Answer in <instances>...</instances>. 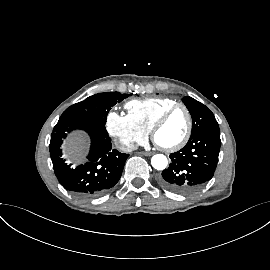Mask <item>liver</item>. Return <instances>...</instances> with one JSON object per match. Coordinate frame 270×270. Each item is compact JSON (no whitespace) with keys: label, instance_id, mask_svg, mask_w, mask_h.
Wrapping results in <instances>:
<instances>
[{"label":"liver","instance_id":"1","mask_svg":"<svg viewBox=\"0 0 270 270\" xmlns=\"http://www.w3.org/2000/svg\"><path fill=\"white\" fill-rule=\"evenodd\" d=\"M87 139L82 133L76 132L71 134L65 141L63 149L65 156L80 161L83 157L84 150L86 148Z\"/></svg>","mask_w":270,"mask_h":270}]
</instances>
